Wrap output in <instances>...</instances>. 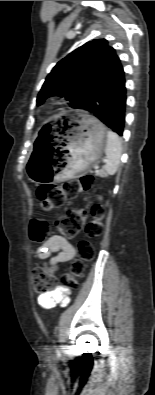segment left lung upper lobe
Masks as SVG:
<instances>
[{
	"instance_id": "5c2ea615",
	"label": "left lung upper lobe",
	"mask_w": 155,
	"mask_h": 395,
	"mask_svg": "<svg viewBox=\"0 0 155 395\" xmlns=\"http://www.w3.org/2000/svg\"><path fill=\"white\" fill-rule=\"evenodd\" d=\"M120 59L105 39H96L77 48L59 61L47 76L37 97L42 104L47 97L64 96L70 106L80 108L102 79Z\"/></svg>"
}]
</instances>
